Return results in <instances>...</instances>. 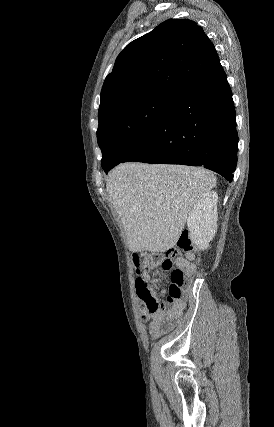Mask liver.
Instances as JSON below:
<instances>
[{
	"instance_id": "1",
	"label": "liver",
	"mask_w": 274,
	"mask_h": 427,
	"mask_svg": "<svg viewBox=\"0 0 274 427\" xmlns=\"http://www.w3.org/2000/svg\"><path fill=\"white\" fill-rule=\"evenodd\" d=\"M216 184L204 168L133 162L119 164L106 180L131 251H166L176 245L193 206Z\"/></svg>"
}]
</instances>
